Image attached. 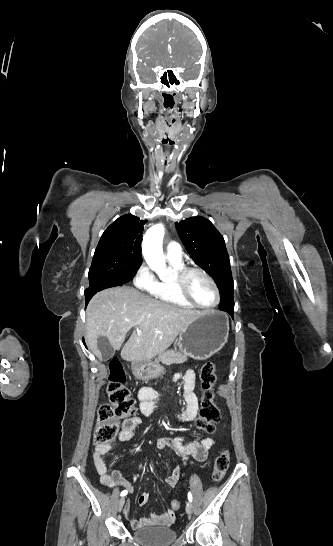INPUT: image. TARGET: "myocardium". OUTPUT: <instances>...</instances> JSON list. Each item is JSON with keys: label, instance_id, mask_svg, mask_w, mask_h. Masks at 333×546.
Returning <instances> with one entry per match:
<instances>
[{"label": "myocardium", "instance_id": "1", "mask_svg": "<svg viewBox=\"0 0 333 546\" xmlns=\"http://www.w3.org/2000/svg\"><path fill=\"white\" fill-rule=\"evenodd\" d=\"M192 273H199L202 276H204L209 281V283L212 285V287L214 288L215 294H216V300L212 305H202V304L198 303L196 300H194V298L189 293V290H188V277ZM175 283H176V288H177V291H178L179 295L185 301H187L188 303H190L194 307L201 308V309H213V308L217 307L218 304L220 303L221 294H220V290H219V287H218L217 283L215 282L213 277L208 272H206L205 270H203L201 268H198V267H184V268H182L175 275Z\"/></svg>", "mask_w": 333, "mask_h": 546}]
</instances>
